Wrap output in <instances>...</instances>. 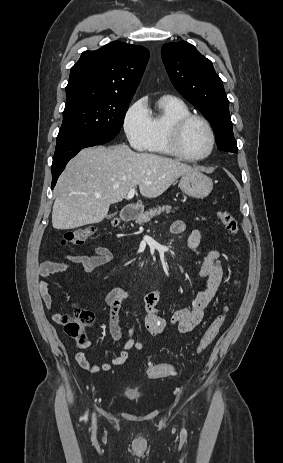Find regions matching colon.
I'll return each mask as SVG.
<instances>
[{
  "instance_id": "colon-1",
  "label": "colon",
  "mask_w": 283,
  "mask_h": 463,
  "mask_svg": "<svg viewBox=\"0 0 283 463\" xmlns=\"http://www.w3.org/2000/svg\"><path fill=\"white\" fill-rule=\"evenodd\" d=\"M218 218L224 228L233 235H238L239 224L234 216L225 210L218 212ZM97 232L95 226H86L74 230L67 231L62 239V244L65 246H81L91 239ZM228 308L223 311L213 320L207 330L204 332L198 341L195 354L199 355L204 352L217 337L222 328ZM94 321V314L82 308H76L72 314L62 317L61 322L66 333L74 338L78 344L86 343L85 330ZM176 368L172 363H159L149 366L146 370V375L149 379H161L175 374Z\"/></svg>"
}]
</instances>
